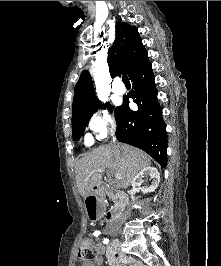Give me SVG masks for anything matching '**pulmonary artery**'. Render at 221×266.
<instances>
[{
	"instance_id": "1",
	"label": "pulmonary artery",
	"mask_w": 221,
	"mask_h": 266,
	"mask_svg": "<svg viewBox=\"0 0 221 266\" xmlns=\"http://www.w3.org/2000/svg\"><path fill=\"white\" fill-rule=\"evenodd\" d=\"M112 91L117 95H122L125 93V87L119 83H115L112 87Z\"/></svg>"
}]
</instances>
